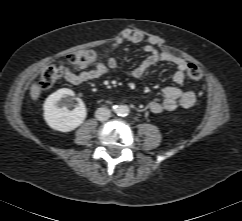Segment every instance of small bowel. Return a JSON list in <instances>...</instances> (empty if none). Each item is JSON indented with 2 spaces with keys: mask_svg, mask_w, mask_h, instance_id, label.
<instances>
[{
  "mask_svg": "<svg viewBox=\"0 0 242 221\" xmlns=\"http://www.w3.org/2000/svg\"><path fill=\"white\" fill-rule=\"evenodd\" d=\"M144 38V34L140 31L124 30L111 44V51L117 49L126 41L140 43ZM144 51L148 53V56L139 65L127 70L126 73L128 76L142 79L147 75L149 69L159 62L172 64L176 68L172 76L175 85L167 86L161 90L162 99L152 100L149 103L150 111L154 114H160L165 111H174L178 107L185 109L192 107L196 102L195 93L193 91H183L179 87L184 82V74L188 67L187 61L172 53L160 51L150 41L144 45ZM70 66H72V63L69 60L60 62L64 79L70 84L80 85L102 78L109 71L116 69L119 66V61L116 57L110 56L105 62H98L93 68L79 72L72 71Z\"/></svg>",
  "mask_w": 242,
  "mask_h": 221,
  "instance_id": "c3829d8e",
  "label": "small bowel"
}]
</instances>
